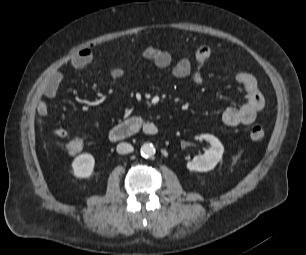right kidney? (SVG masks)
I'll use <instances>...</instances> for the list:
<instances>
[{
	"label": "right kidney",
	"mask_w": 306,
	"mask_h": 255,
	"mask_svg": "<svg viewBox=\"0 0 306 255\" xmlns=\"http://www.w3.org/2000/svg\"><path fill=\"white\" fill-rule=\"evenodd\" d=\"M95 159L91 154L78 155L72 162L74 176L78 178H89L94 170Z\"/></svg>",
	"instance_id": "right-kidney-1"
}]
</instances>
